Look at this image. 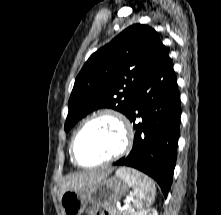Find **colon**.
<instances>
[{
  "instance_id": "1",
  "label": "colon",
  "mask_w": 221,
  "mask_h": 215,
  "mask_svg": "<svg viewBox=\"0 0 221 215\" xmlns=\"http://www.w3.org/2000/svg\"><path fill=\"white\" fill-rule=\"evenodd\" d=\"M89 215H109L108 213L100 212L97 209H92L89 212Z\"/></svg>"
}]
</instances>
